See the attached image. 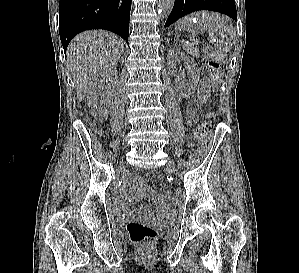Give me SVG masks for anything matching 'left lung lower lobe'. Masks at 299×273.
<instances>
[{
    "label": "left lung lower lobe",
    "instance_id": "left-lung-lower-lobe-1",
    "mask_svg": "<svg viewBox=\"0 0 299 273\" xmlns=\"http://www.w3.org/2000/svg\"><path fill=\"white\" fill-rule=\"evenodd\" d=\"M198 10L220 12L237 21L234 0H175L174 7L165 23V27L176 22L179 18Z\"/></svg>",
    "mask_w": 299,
    "mask_h": 273
}]
</instances>
